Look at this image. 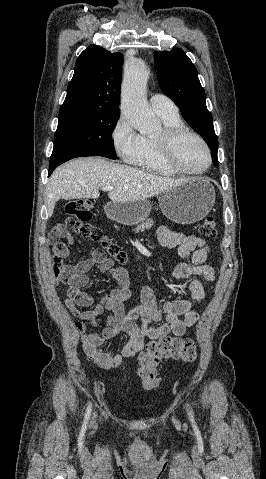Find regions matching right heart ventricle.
I'll return each mask as SVG.
<instances>
[{
	"label": "right heart ventricle",
	"mask_w": 266,
	"mask_h": 479,
	"mask_svg": "<svg viewBox=\"0 0 266 479\" xmlns=\"http://www.w3.org/2000/svg\"><path fill=\"white\" fill-rule=\"evenodd\" d=\"M165 127L184 126L179 115L169 116L158 114ZM140 169L157 175L171 176L176 172L169 168L162 160L157 136H141V151L133 162Z\"/></svg>",
	"instance_id": "right-heart-ventricle-1"
}]
</instances>
